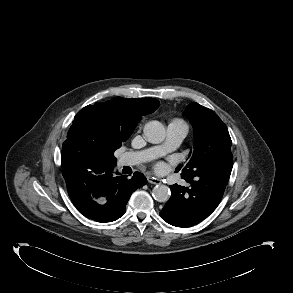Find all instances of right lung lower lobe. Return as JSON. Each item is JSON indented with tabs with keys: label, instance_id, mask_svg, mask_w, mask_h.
<instances>
[{
	"label": "right lung lower lobe",
	"instance_id": "right-lung-lower-lobe-1",
	"mask_svg": "<svg viewBox=\"0 0 293 293\" xmlns=\"http://www.w3.org/2000/svg\"><path fill=\"white\" fill-rule=\"evenodd\" d=\"M115 164L96 160L66 179L68 194L81 214L97 222H112L125 213L131 194L147 183L135 172L131 179L114 175Z\"/></svg>",
	"mask_w": 293,
	"mask_h": 293
}]
</instances>
